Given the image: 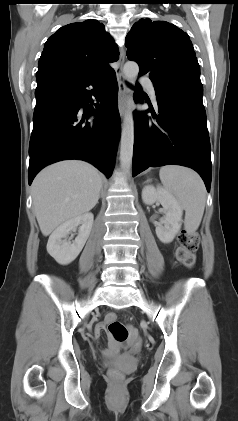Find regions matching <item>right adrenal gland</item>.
<instances>
[{
    "mask_svg": "<svg viewBox=\"0 0 238 421\" xmlns=\"http://www.w3.org/2000/svg\"><path fill=\"white\" fill-rule=\"evenodd\" d=\"M102 194H103V187L101 188V192H100V196L99 197H102Z\"/></svg>",
    "mask_w": 238,
    "mask_h": 421,
    "instance_id": "2a0ac1e0",
    "label": "right adrenal gland"
}]
</instances>
